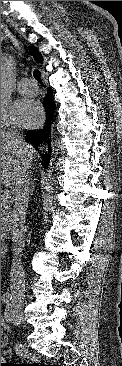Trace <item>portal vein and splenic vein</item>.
<instances>
[{"label":"portal vein and splenic vein","instance_id":"18ae733b","mask_svg":"<svg viewBox=\"0 0 122 366\" xmlns=\"http://www.w3.org/2000/svg\"><path fill=\"white\" fill-rule=\"evenodd\" d=\"M9 198H10L9 192L1 193V199H9Z\"/></svg>","mask_w":122,"mask_h":366}]
</instances>
